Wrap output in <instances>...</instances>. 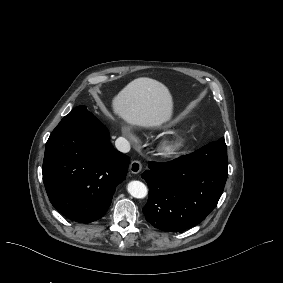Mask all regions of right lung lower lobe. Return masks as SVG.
<instances>
[{"label":"right lung lower lobe","instance_id":"1","mask_svg":"<svg viewBox=\"0 0 283 283\" xmlns=\"http://www.w3.org/2000/svg\"><path fill=\"white\" fill-rule=\"evenodd\" d=\"M130 158L114 149L96 119L62 120L45 147L43 182L52 205L67 218L90 223L104 216Z\"/></svg>","mask_w":283,"mask_h":283}]
</instances>
